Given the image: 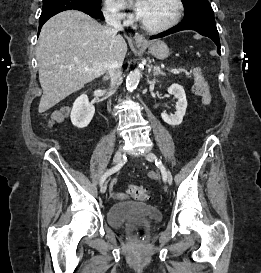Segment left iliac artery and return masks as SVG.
Masks as SVG:
<instances>
[{
    "label": "left iliac artery",
    "mask_w": 261,
    "mask_h": 273,
    "mask_svg": "<svg viewBox=\"0 0 261 273\" xmlns=\"http://www.w3.org/2000/svg\"><path fill=\"white\" fill-rule=\"evenodd\" d=\"M155 164L161 169V172H162V174H163V179L165 180V178H166V175H165V168H164L162 162L159 161V160H158V161L155 160Z\"/></svg>",
    "instance_id": "left-iliac-artery-1"
}]
</instances>
